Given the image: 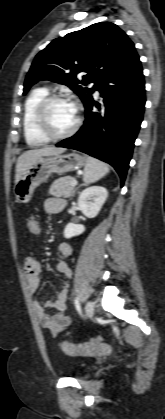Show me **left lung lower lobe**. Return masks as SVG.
<instances>
[{"label": "left lung lower lobe", "instance_id": "obj_1", "mask_svg": "<svg viewBox=\"0 0 165 419\" xmlns=\"http://www.w3.org/2000/svg\"><path fill=\"white\" fill-rule=\"evenodd\" d=\"M97 90L103 104L92 100L85 105L81 129L56 146L76 149L109 163L123 186L146 101L144 76L135 50L101 81Z\"/></svg>", "mask_w": 165, "mask_h": 419}]
</instances>
